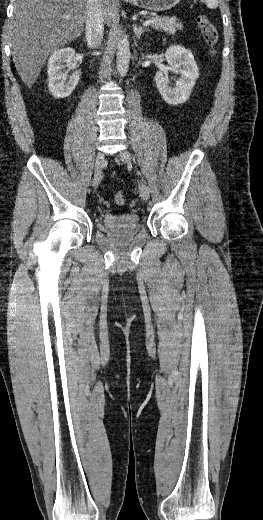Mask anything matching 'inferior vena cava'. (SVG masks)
I'll use <instances>...</instances> for the list:
<instances>
[{
    "mask_svg": "<svg viewBox=\"0 0 263 520\" xmlns=\"http://www.w3.org/2000/svg\"><path fill=\"white\" fill-rule=\"evenodd\" d=\"M103 0L87 1L85 37L87 45L96 48L100 45L104 32Z\"/></svg>",
    "mask_w": 263,
    "mask_h": 520,
    "instance_id": "inferior-vena-cava-1",
    "label": "inferior vena cava"
}]
</instances>
